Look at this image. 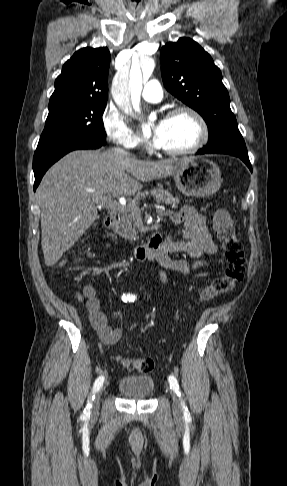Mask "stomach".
I'll list each match as a JSON object with an SVG mask.
<instances>
[{"label": "stomach", "mask_w": 287, "mask_h": 486, "mask_svg": "<svg viewBox=\"0 0 287 486\" xmlns=\"http://www.w3.org/2000/svg\"><path fill=\"white\" fill-rule=\"evenodd\" d=\"M174 181L184 195L209 197L220 189L223 180L220 169L214 162L191 158L174 173Z\"/></svg>", "instance_id": "obj_1"}]
</instances>
